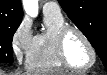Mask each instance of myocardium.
Masks as SVG:
<instances>
[{
  "label": "myocardium",
  "mask_w": 107,
  "mask_h": 75,
  "mask_svg": "<svg viewBox=\"0 0 107 75\" xmlns=\"http://www.w3.org/2000/svg\"><path fill=\"white\" fill-rule=\"evenodd\" d=\"M71 32L77 33L84 40V42L89 48V51L91 53V61L89 64L85 66L78 67V66L71 64L66 56L65 41H66L68 34ZM56 54H57V58L59 62L64 68H67L72 71H77V72H83V71H87L91 69L95 65L96 60H97L96 50L92 42L90 41V39L82 30L71 25H65L58 31L57 36H56Z\"/></svg>",
  "instance_id": "1"
}]
</instances>
